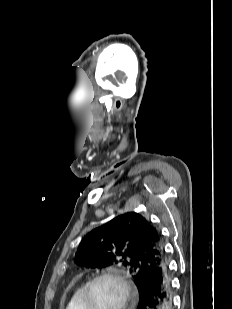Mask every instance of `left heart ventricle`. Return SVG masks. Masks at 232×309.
Segmentation results:
<instances>
[{
	"label": "left heart ventricle",
	"instance_id": "b2bd125f",
	"mask_svg": "<svg viewBox=\"0 0 232 309\" xmlns=\"http://www.w3.org/2000/svg\"><path fill=\"white\" fill-rule=\"evenodd\" d=\"M93 309H118L122 301V289L112 279L97 281L90 293Z\"/></svg>",
	"mask_w": 232,
	"mask_h": 309
}]
</instances>
